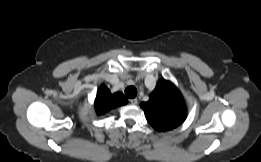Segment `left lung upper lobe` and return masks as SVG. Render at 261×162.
Masks as SVG:
<instances>
[{
  "mask_svg": "<svg viewBox=\"0 0 261 162\" xmlns=\"http://www.w3.org/2000/svg\"><path fill=\"white\" fill-rule=\"evenodd\" d=\"M147 121L157 131H169L181 125L187 108L180 91L173 83L159 80L147 102L140 104Z\"/></svg>",
  "mask_w": 261,
  "mask_h": 162,
  "instance_id": "obj_1",
  "label": "left lung upper lobe"
}]
</instances>
